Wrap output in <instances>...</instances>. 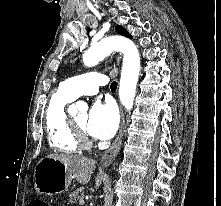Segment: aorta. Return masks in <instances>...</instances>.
<instances>
[{
  "instance_id": "obj_1",
  "label": "aorta",
  "mask_w": 221,
  "mask_h": 206,
  "mask_svg": "<svg viewBox=\"0 0 221 206\" xmlns=\"http://www.w3.org/2000/svg\"><path fill=\"white\" fill-rule=\"evenodd\" d=\"M113 51L123 54V66L120 79L119 97L126 110H131L134 103L136 85L140 72V56L135 44L122 36H109L92 45L83 55L85 66L97 65ZM87 109L84 102H77L72 110Z\"/></svg>"
}]
</instances>
